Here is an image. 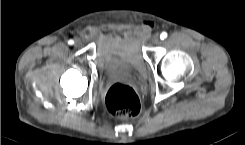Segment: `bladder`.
<instances>
[{"label": "bladder", "mask_w": 245, "mask_h": 145, "mask_svg": "<svg viewBox=\"0 0 245 145\" xmlns=\"http://www.w3.org/2000/svg\"><path fill=\"white\" fill-rule=\"evenodd\" d=\"M96 62L107 76L126 70H142L145 58L137 39L131 33L109 32L100 37Z\"/></svg>", "instance_id": "31cf9c89"}]
</instances>
